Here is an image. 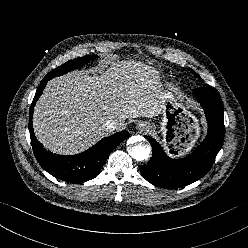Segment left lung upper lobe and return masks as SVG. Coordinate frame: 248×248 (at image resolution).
Returning <instances> with one entry per match:
<instances>
[{
    "label": "left lung upper lobe",
    "mask_w": 248,
    "mask_h": 248,
    "mask_svg": "<svg viewBox=\"0 0 248 248\" xmlns=\"http://www.w3.org/2000/svg\"><path fill=\"white\" fill-rule=\"evenodd\" d=\"M194 75H196L197 77H199V75L197 73H195L192 69L188 68Z\"/></svg>",
    "instance_id": "left-lung-upper-lobe-1"
}]
</instances>
